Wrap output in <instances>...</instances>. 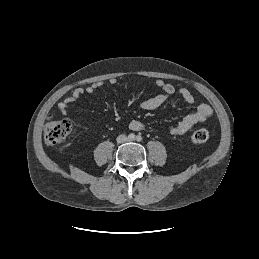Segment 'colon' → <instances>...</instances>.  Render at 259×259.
Masks as SVG:
<instances>
[{"mask_svg":"<svg viewBox=\"0 0 259 259\" xmlns=\"http://www.w3.org/2000/svg\"><path fill=\"white\" fill-rule=\"evenodd\" d=\"M71 132V123L68 120L49 119L44 128V140L48 145L64 143ZM209 139V133L204 128L196 129L191 136L195 144L205 143Z\"/></svg>","mask_w":259,"mask_h":259,"instance_id":"colon-1","label":"colon"}]
</instances>
